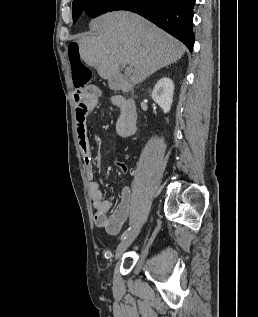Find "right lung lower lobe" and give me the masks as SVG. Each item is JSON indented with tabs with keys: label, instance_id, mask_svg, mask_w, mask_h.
<instances>
[{
	"label": "right lung lower lobe",
	"instance_id": "obj_1",
	"mask_svg": "<svg viewBox=\"0 0 258 317\" xmlns=\"http://www.w3.org/2000/svg\"><path fill=\"white\" fill-rule=\"evenodd\" d=\"M196 0H117L111 11L135 12L182 41L193 49V5ZM83 13L91 17L101 14L98 9L86 7Z\"/></svg>",
	"mask_w": 258,
	"mask_h": 317
}]
</instances>
